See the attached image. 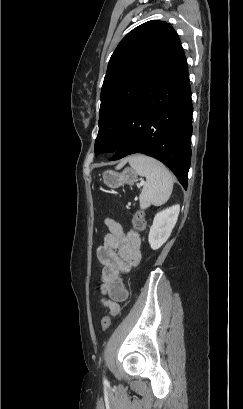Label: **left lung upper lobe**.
Listing matches in <instances>:
<instances>
[{
	"label": "left lung upper lobe",
	"mask_w": 243,
	"mask_h": 409,
	"mask_svg": "<svg viewBox=\"0 0 243 409\" xmlns=\"http://www.w3.org/2000/svg\"><path fill=\"white\" fill-rule=\"evenodd\" d=\"M180 44L171 24L158 20L136 27L121 40L101 89L96 154L115 152L148 83Z\"/></svg>",
	"instance_id": "obj_1"
}]
</instances>
